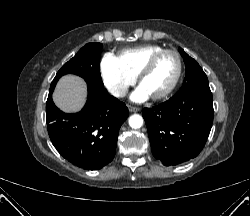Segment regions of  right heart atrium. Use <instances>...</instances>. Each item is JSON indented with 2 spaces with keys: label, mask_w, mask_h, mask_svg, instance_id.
I'll return each mask as SVG.
<instances>
[{
  "label": "right heart atrium",
  "mask_w": 250,
  "mask_h": 216,
  "mask_svg": "<svg viewBox=\"0 0 250 216\" xmlns=\"http://www.w3.org/2000/svg\"><path fill=\"white\" fill-rule=\"evenodd\" d=\"M100 73L106 89L116 98L123 97L132 86L136 77L131 75L112 54L103 56Z\"/></svg>",
  "instance_id": "obj_1"
}]
</instances>
